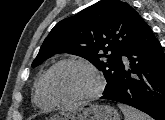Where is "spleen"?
<instances>
[{
  "label": "spleen",
  "mask_w": 165,
  "mask_h": 120,
  "mask_svg": "<svg viewBox=\"0 0 165 120\" xmlns=\"http://www.w3.org/2000/svg\"><path fill=\"white\" fill-rule=\"evenodd\" d=\"M118 107L123 112L125 120H152V118L145 113L138 111L130 106L118 104Z\"/></svg>",
  "instance_id": "spleen-1"
}]
</instances>
